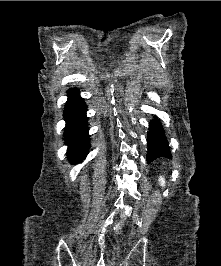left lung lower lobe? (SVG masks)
<instances>
[{"mask_svg":"<svg viewBox=\"0 0 221 266\" xmlns=\"http://www.w3.org/2000/svg\"><path fill=\"white\" fill-rule=\"evenodd\" d=\"M148 154L147 162L151 163L158 157H171L165 131L157 117L150 121L147 137Z\"/></svg>","mask_w":221,"mask_h":266,"instance_id":"obj_1","label":"left lung lower lobe"}]
</instances>
